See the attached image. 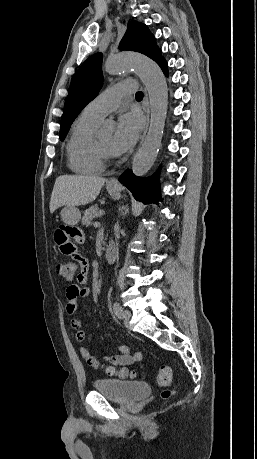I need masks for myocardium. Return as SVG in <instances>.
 Segmentation results:
<instances>
[{
    "label": "myocardium",
    "mask_w": 257,
    "mask_h": 459,
    "mask_svg": "<svg viewBox=\"0 0 257 459\" xmlns=\"http://www.w3.org/2000/svg\"><path fill=\"white\" fill-rule=\"evenodd\" d=\"M96 148L103 161L110 160L115 156V153L112 150L105 148L98 138H96Z\"/></svg>",
    "instance_id": "myocardium-1"
}]
</instances>
